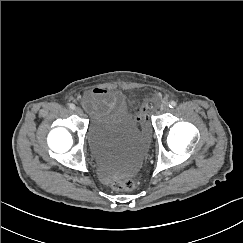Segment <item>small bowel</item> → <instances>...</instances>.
Instances as JSON below:
<instances>
[{
  "label": "small bowel",
  "instance_id": "c3829d8e",
  "mask_svg": "<svg viewBox=\"0 0 243 243\" xmlns=\"http://www.w3.org/2000/svg\"><path fill=\"white\" fill-rule=\"evenodd\" d=\"M124 95L118 90L96 87L83 98V106L92 113H105L122 107Z\"/></svg>",
  "mask_w": 243,
  "mask_h": 243
}]
</instances>
